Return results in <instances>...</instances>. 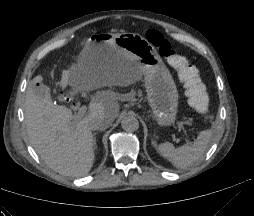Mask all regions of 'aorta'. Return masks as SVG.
Segmentation results:
<instances>
[{"mask_svg": "<svg viewBox=\"0 0 254 216\" xmlns=\"http://www.w3.org/2000/svg\"><path fill=\"white\" fill-rule=\"evenodd\" d=\"M121 126L127 132H134L139 128V121L134 115H126L121 121Z\"/></svg>", "mask_w": 254, "mask_h": 216, "instance_id": "762f6f07", "label": "aorta"}]
</instances>
